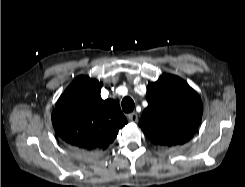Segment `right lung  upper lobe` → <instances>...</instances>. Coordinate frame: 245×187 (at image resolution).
Instances as JSON below:
<instances>
[{
    "label": "right lung upper lobe",
    "instance_id": "right-lung-upper-lobe-1",
    "mask_svg": "<svg viewBox=\"0 0 245 187\" xmlns=\"http://www.w3.org/2000/svg\"><path fill=\"white\" fill-rule=\"evenodd\" d=\"M102 83L87 76L78 77L64 91L52 112L56 134L80 150H105L127 120L118 103L102 100Z\"/></svg>",
    "mask_w": 245,
    "mask_h": 187
}]
</instances>
